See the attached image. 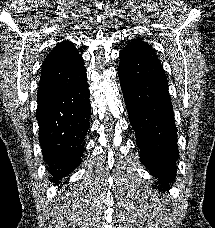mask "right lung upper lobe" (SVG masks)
I'll return each instance as SVG.
<instances>
[{
  "mask_svg": "<svg viewBox=\"0 0 215 228\" xmlns=\"http://www.w3.org/2000/svg\"><path fill=\"white\" fill-rule=\"evenodd\" d=\"M86 74L83 58L69 41L58 43L42 64L38 106L59 96L68 81H76Z\"/></svg>",
  "mask_w": 215,
  "mask_h": 228,
  "instance_id": "1",
  "label": "right lung upper lobe"
}]
</instances>
